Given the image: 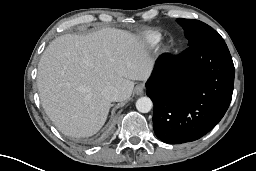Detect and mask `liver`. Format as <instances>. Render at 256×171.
I'll return each mask as SVG.
<instances>
[{
  "label": "liver",
  "instance_id": "liver-1",
  "mask_svg": "<svg viewBox=\"0 0 256 171\" xmlns=\"http://www.w3.org/2000/svg\"><path fill=\"white\" fill-rule=\"evenodd\" d=\"M153 60L142 41L118 29L54 39L38 64L37 86L42 106L55 126L71 137H89L104 125L110 101L107 86L128 99L135 80H146Z\"/></svg>",
  "mask_w": 256,
  "mask_h": 171
}]
</instances>
